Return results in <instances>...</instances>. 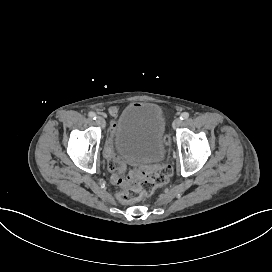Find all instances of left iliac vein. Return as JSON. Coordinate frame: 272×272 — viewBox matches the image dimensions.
I'll return each instance as SVG.
<instances>
[{
	"mask_svg": "<svg viewBox=\"0 0 272 272\" xmlns=\"http://www.w3.org/2000/svg\"><path fill=\"white\" fill-rule=\"evenodd\" d=\"M180 123H181L180 118L175 119L173 122V129H176L180 125Z\"/></svg>",
	"mask_w": 272,
	"mask_h": 272,
	"instance_id": "left-iliac-vein-1",
	"label": "left iliac vein"
}]
</instances>
